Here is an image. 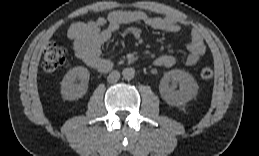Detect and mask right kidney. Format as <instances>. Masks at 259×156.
I'll use <instances>...</instances> for the list:
<instances>
[{"instance_id":"right-kidney-1","label":"right kidney","mask_w":259,"mask_h":156,"mask_svg":"<svg viewBox=\"0 0 259 156\" xmlns=\"http://www.w3.org/2000/svg\"><path fill=\"white\" fill-rule=\"evenodd\" d=\"M90 73L87 68L78 66L70 69L61 82V94L67 100L83 97L88 90ZM76 80H80L76 84Z\"/></svg>"}]
</instances>
